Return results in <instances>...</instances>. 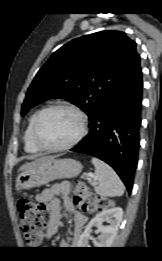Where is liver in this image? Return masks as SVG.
Segmentation results:
<instances>
[{
    "mask_svg": "<svg viewBox=\"0 0 162 261\" xmlns=\"http://www.w3.org/2000/svg\"><path fill=\"white\" fill-rule=\"evenodd\" d=\"M42 158H44V157L38 158V159H36V160H34L33 162H30V163H25L24 165L21 166L20 169L30 168V167L34 166L35 164H37Z\"/></svg>",
    "mask_w": 162,
    "mask_h": 261,
    "instance_id": "obj_1",
    "label": "liver"
}]
</instances>
